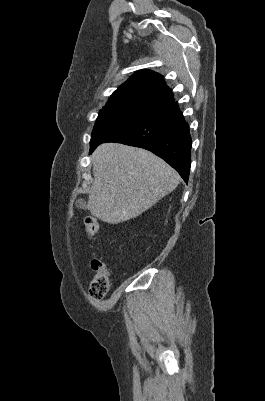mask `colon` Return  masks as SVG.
<instances>
[{
	"label": "colon",
	"instance_id": "1",
	"mask_svg": "<svg viewBox=\"0 0 265 401\" xmlns=\"http://www.w3.org/2000/svg\"><path fill=\"white\" fill-rule=\"evenodd\" d=\"M85 231L90 236H95L99 231V223L96 218L88 216L84 218ZM92 268L95 272L89 284V295L94 300L103 299L110 289V273L106 264L98 258L93 259Z\"/></svg>",
	"mask_w": 265,
	"mask_h": 401
}]
</instances>
